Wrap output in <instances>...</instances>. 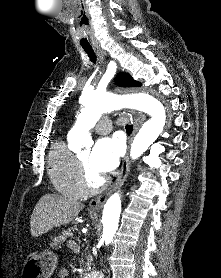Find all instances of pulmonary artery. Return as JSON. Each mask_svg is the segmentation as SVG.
I'll return each instance as SVG.
<instances>
[{
    "label": "pulmonary artery",
    "mask_w": 221,
    "mask_h": 278,
    "mask_svg": "<svg viewBox=\"0 0 221 278\" xmlns=\"http://www.w3.org/2000/svg\"><path fill=\"white\" fill-rule=\"evenodd\" d=\"M112 128V122L108 118H103L99 121V123L96 125V131L99 134L107 133Z\"/></svg>",
    "instance_id": "pulmonary-artery-1"
}]
</instances>
